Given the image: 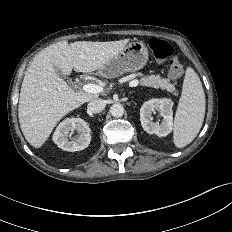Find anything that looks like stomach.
I'll list each match as a JSON object with an SVG mask.
<instances>
[{
    "label": "stomach",
    "mask_w": 232,
    "mask_h": 232,
    "mask_svg": "<svg viewBox=\"0 0 232 232\" xmlns=\"http://www.w3.org/2000/svg\"><path fill=\"white\" fill-rule=\"evenodd\" d=\"M148 60V51L142 42H130L112 60L105 64L99 73L107 78H114L125 72L140 70Z\"/></svg>",
    "instance_id": "1"
}]
</instances>
